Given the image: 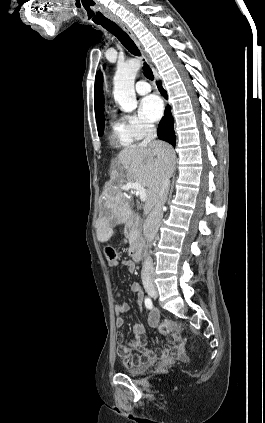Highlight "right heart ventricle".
<instances>
[{"label": "right heart ventricle", "mask_w": 265, "mask_h": 423, "mask_svg": "<svg viewBox=\"0 0 265 423\" xmlns=\"http://www.w3.org/2000/svg\"><path fill=\"white\" fill-rule=\"evenodd\" d=\"M112 144H129L132 140L129 138L123 123L113 121L111 123V136Z\"/></svg>", "instance_id": "e07e8e85"}]
</instances>
